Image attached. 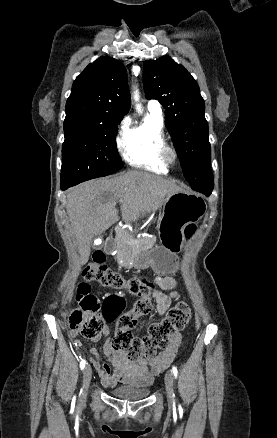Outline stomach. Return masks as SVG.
I'll list each match as a JSON object with an SVG mask.
<instances>
[{
  "label": "stomach",
  "instance_id": "1",
  "mask_svg": "<svg viewBox=\"0 0 277 438\" xmlns=\"http://www.w3.org/2000/svg\"><path fill=\"white\" fill-rule=\"evenodd\" d=\"M206 203L195 193L178 190L166 196L158 234L161 244L136 256L134 267L148 268L161 274H171L179 268L178 253L185 242L184 229L199 221L205 213Z\"/></svg>",
  "mask_w": 277,
  "mask_h": 438
}]
</instances>
